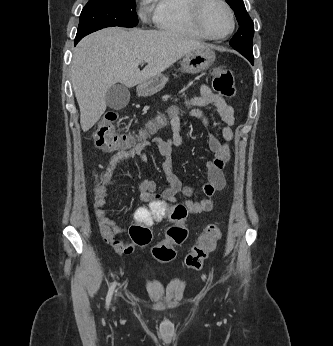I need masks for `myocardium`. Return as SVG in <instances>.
I'll list each match as a JSON object with an SVG mask.
<instances>
[{"label":"myocardium","mask_w":333,"mask_h":346,"mask_svg":"<svg viewBox=\"0 0 333 346\" xmlns=\"http://www.w3.org/2000/svg\"><path fill=\"white\" fill-rule=\"evenodd\" d=\"M192 1H193L191 4L192 18H193V21H194L196 27L199 29V31L203 35H205L208 38H212V39H216V40H222V39L228 38L234 32L235 26H236L234 12H233L232 8L230 7V5L225 0H192ZM210 2L220 3L228 13V16L230 19V28L223 35H220V36L214 35L213 33H211L206 28V26L204 24L203 12H204L206 6Z\"/></svg>","instance_id":"f54148a6"}]
</instances>
